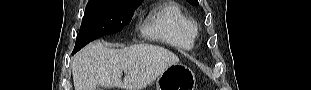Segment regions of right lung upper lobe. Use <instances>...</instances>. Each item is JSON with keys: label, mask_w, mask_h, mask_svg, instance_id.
<instances>
[{"label": "right lung upper lobe", "mask_w": 311, "mask_h": 90, "mask_svg": "<svg viewBox=\"0 0 311 90\" xmlns=\"http://www.w3.org/2000/svg\"><path fill=\"white\" fill-rule=\"evenodd\" d=\"M128 1H136V2H139V1H141V0H128Z\"/></svg>", "instance_id": "obj_1"}]
</instances>
